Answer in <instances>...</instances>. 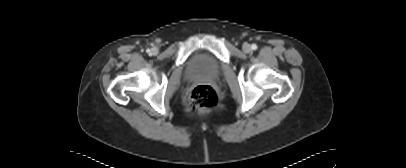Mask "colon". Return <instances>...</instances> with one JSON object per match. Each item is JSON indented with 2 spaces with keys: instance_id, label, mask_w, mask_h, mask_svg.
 Returning a JSON list of instances; mask_svg holds the SVG:
<instances>
[{
  "instance_id": "obj_1",
  "label": "colon",
  "mask_w": 406,
  "mask_h": 168,
  "mask_svg": "<svg viewBox=\"0 0 406 168\" xmlns=\"http://www.w3.org/2000/svg\"><path fill=\"white\" fill-rule=\"evenodd\" d=\"M217 103V96L212 86L196 85L189 93L187 110L190 113H203L211 110Z\"/></svg>"
}]
</instances>
